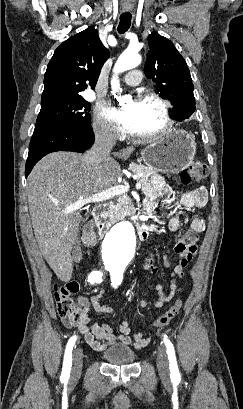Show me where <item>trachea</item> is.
<instances>
[{"instance_id":"1","label":"trachea","mask_w":243,"mask_h":409,"mask_svg":"<svg viewBox=\"0 0 243 409\" xmlns=\"http://www.w3.org/2000/svg\"><path fill=\"white\" fill-rule=\"evenodd\" d=\"M131 14L129 12H125L120 16V23L118 25V32L120 34L125 33L131 25Z\"/></svg>"}]
</instances>
